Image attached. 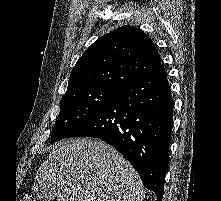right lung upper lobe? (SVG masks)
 I'll list each match as a JSON object with an SVG mask.
<instances>
[{
	"instance_id": "right-lung-upper-lobe-1",
	"label": "right lung upper lobe",
	"mask_w": 221,
	"mask_h": 201,
	"mask_svg": "<svg viewBox=\"0 0 221 201\" xmlns=\"http://www.w3.org/2000/svg\"><path fill=\"white\" fill-rule=\"evenodd\" d=\"M160 65L152 40L138 28L122 26L84 52L72 70L66 93L90 87L119 90Z\"/></svg>"
}]
</instances>
